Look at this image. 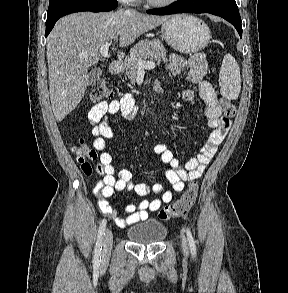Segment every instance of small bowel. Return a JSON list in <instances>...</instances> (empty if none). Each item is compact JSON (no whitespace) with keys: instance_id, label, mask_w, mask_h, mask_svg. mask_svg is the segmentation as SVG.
I'll return each mask as SVG.
<instances>
[{"instance_id":"obj_1","label":"small bowel","mask_w":288,"mask_h":293,"mask_svg":"<svg viewBox=\"0 0 288 293\" xmlns=\"http://www.w3.org/2000/svg\"><path fill=\"white\" fill-rule=\"evenodd\" d=\"M168 68L175 76L188 68L186 78L198 86L199 96L206 105L205 116L208 119V126L212 128L211 134L197 156L190 159L184 166L166 145H154L153 151L160 156L162 162L171 167L166 170L165 176L171 184L172 190H164L159 183L151 187L144 183H133L131 172L127 169L117 172L112 164L111 154L105 151L106 141L114 137L109 125V115L119 114L123 118L129 119L136 116L139 111V106L131 93H124L120 99L98 103L88 113V119L94 125L92 129L95 137L94 147L101 152L96 166L100 180L93 191L101 212L114 218L116 225L121 228L146 220L149 212L157 211L163 203H169L173 199V191H182L187 181L200 177L229 130L230 122L222 114V106L217 93L211 83L204 78L207 72L205 56L200 53L195 54L187 61L179 55L172 54L169 57ZM182 97L184 100L194 103L193 91L184 89ZM119 191L133 192L140 197L152 193L157 198L143 199L139 203H130L121 209L120 206H112L109 202V198ZM119 213L125 214L126 217H118Z\"/></svg>"}]
</instances>
